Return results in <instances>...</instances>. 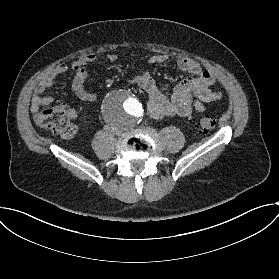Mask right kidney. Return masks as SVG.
I'll list each match as a JSON object with an SVG mask.
<instances>
[{"instance_id": "right-kidney-1", "label": "right kidney", "mask_w": 279, "mask_h": 279, "mask_svg": "<svg viewBox=\"0 0 279 279\" xmlns=\"http://www.w3.org/2000/svg\"><path fill=\"white\" fill-rule=\"evenodd\" d=\"M86 119H87V114L86 113L82 114L81 121L85 122Z\"/></svg>"}]
</instances>
